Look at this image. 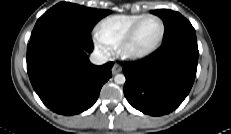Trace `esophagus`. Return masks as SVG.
<instances>
[{"instance_id": "34e87169", "label": "esophagus", "mask_w": 231, "mask_h": 134, "mask_svg": "<svg viewBox=\"0 0 231 134\" xmlns=\"http://www.w3.org/2000/svg\"><path fill=\"white\" fill-rule=\"evenodd\" d=\"M122 71V67L120 64L115 63L112 67V74H117Z\"/></svg>"}]
</instances>
